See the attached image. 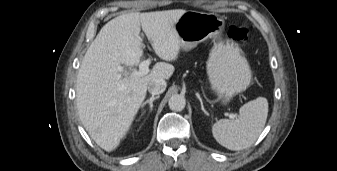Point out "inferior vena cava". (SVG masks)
I'll return each mask as SVG.
<instances>
[{"label":"inferior vena cava","instance_id":"602c4592","mask_svg":"<svg viewBox=\"0 0 337 171\" xmlns=\"http://www.w3.org/2000/svg\"><path fill=\"white\" fill-rule=\"evenodd\" d=\"M166 86L167 84L164 79H154L148 84V91L152 95H158L165 91Z\"/></svg>","mask_w":337,"mask_h":171}]
</instances>
